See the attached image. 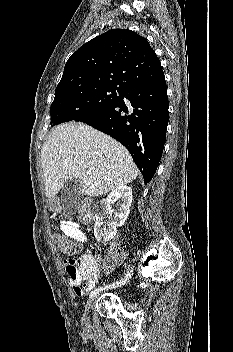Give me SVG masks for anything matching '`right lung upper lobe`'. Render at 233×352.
Instances as JSON below:
<instances>
[{"label":"right lung upper lobe","instance_id":"obj_1","mask_svg":"<svg viewBox=\"0 0 233 352\" xmlns=\"http://www.w3.org/2000/svg\"><path fill=\"white\" fill-rule=\"evenodd\" d=\"M163 75L160 61L144 37L130 30L112 29L70 56L55 95L101 85L128 90Z\"/></svg>","mask_w":233,"mask_h":352}]
</instances>
